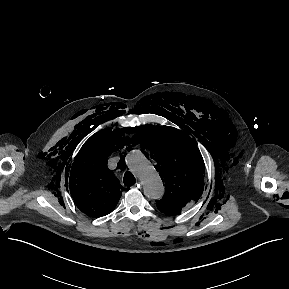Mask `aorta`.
Instances as JSON below:
<instances>
[{
    "label": "aorta",
    "instance_id": "aorta-1",
    "mask_svg": "<svg viewBox=\"0 0 289 289\" xmlns=\"http://www.w3.org/2000/svg\"><path fill=\"white\" fill-rule=\"evenodd\" d=\"M125 162L142 182L145 196L155 200L161 199L165 190L164 184L143 153L132 150L126 155Z\"/></svg>",
    "mask_w": 289,
    "mask_h": 289
}]
</instances>
